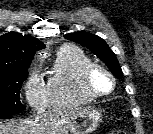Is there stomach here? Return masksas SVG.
<instances>
[{
  "instance_id": "0dacf381",
  "label": "stomach",
  "mask_w": 153,
  "mask_h": 134,
  "mask_svg": "<svg viewBox=\"0 0 153 134\" xmlns=\"http://www.w3.org/2000/svg\"><path fill=\"white\" fill-rule=\"evenodd\" d=\"M102 112L96 108H83L76 112L69 128L71 134H91L101 122Z\"/></svg>"
}]
</instances>
